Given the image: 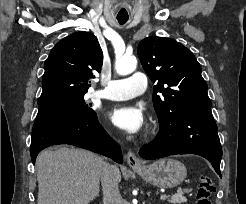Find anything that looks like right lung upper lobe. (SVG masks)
Returning <instances> with one entry per match:
<instances>
[{"label": "right lung upper lobe", "mask_w": 246, "mask_h": 204, "mask_svg": "<svg viewBox=\"0 0 246 204\" xmlns=\"http://www.w3.org/2000/svg\"><path fill=\"white\" fill-rule=\"evenodd\" d=\"M103 53L90 32H76L59 41L45 61L39 101L62 94L87 92L94 72H100Z\"/></svg>", "instance_id": "1"}]
</instances>
